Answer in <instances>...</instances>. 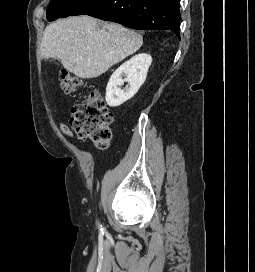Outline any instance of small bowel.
<instances>
[{"instance_id":"1","label":"small bowel","mask_w":255,"mask_h":272,"mask_svg":"<svg viewBox=\"0 0 255 272\" xmlns=\"http://www.w3.org/2000/svg\"><path fill=\"white\" fill-rule=\"evenodd\" d=\"M59 128H60L61 132L65 136H67V137H72L73 136L70 128L66 124L60 123Z\"/></svg>"}]
</instances>
